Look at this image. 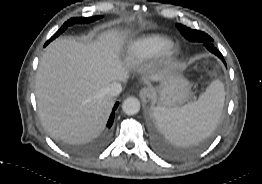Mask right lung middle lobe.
<instances>
[{"mask_svg": "<svg viewBox=\"0 0 262 184\" xmlns=\"http://www.w3.org/2000/svg\"><path fill=\"white\" fill-rule=\"evenodd\" d=\"M102 16H96V17H78V18H71L69 19L67 22H65L63 24V26L51 37L50 40H48L46 42V45L53 40L54 38H56L58 35H60L63 31H65V29L74 24V23H88V22H92L95 21L96 19L101 18Z\"/></svg>", "mask_w": 262, "mask_h": 184, "instance_id": "right-lung-middle-lobe-1", "label": "right lung middle lobe"}]
</instances>
